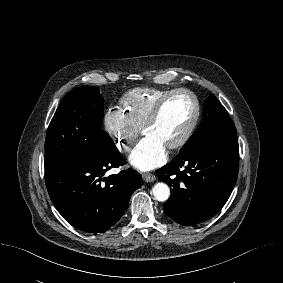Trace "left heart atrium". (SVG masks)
<instances>
[{
	"label": "left heart atrium",
	"instance_id": "left-heart-atrium-1",
	"mask_svg": "<svg viewBox=\"0 0 283 283\" xmlns=\"http://www.w3.org/2000/svg\"><path fill=\"white\" fill-rule=\"evenodd\" d=\"M166 147L151 136L144 138L135 147L129 157L130 163L141 171H149L166 161Z\"/></svg>",
	"mask_w": 283,
	"mask_h": 283
}]
</instances>
